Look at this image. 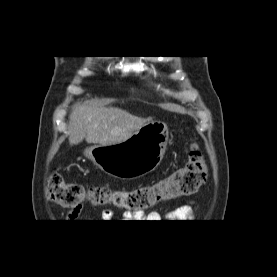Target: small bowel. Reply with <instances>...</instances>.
I'll return each instance as SVG.
<instances>
[{
	"label": "small bowel",
	"mask_w": 277,
	"mask_h": 277,
	"mask_svg": "<svg viewBox=\"0 0 277 277\" xmlns=\"http://www.w3.org/2000/svg\"><path fill=\"white\" fill-rule=\"evenodd\" d=\"M82 211V205L72 208L65 216L67 222H72L76 220ZM196 204L194 202H189L188 204L179 206L171 210L165 217L158 211H151L150 213L143 215L140 213H130L126 212L123 214L125 220H136V222H161L164 218L170 220H177L179 222H186L192 220L195 217ZM102 216L104 219H111L113 212L110 209H105L102 211ZM142 220V221H141Z\"/></svg>",
	"instance_id": "obj_1"
}]
</instances>
